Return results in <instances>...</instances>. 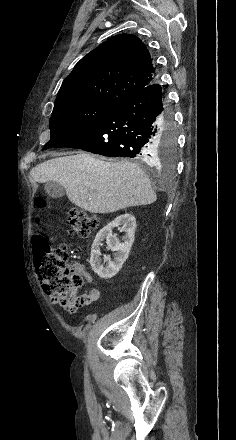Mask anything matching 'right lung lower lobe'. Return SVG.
Instances as JSON below:
<instances>
[{"label":"right lung lower lobe","instance_id":"right-lung-lower-lobe-1","mask_svg":"<svg viewBox=\"0 0 236 440\" xmlns=\"http://www.w3.org/2000/svg\"><path fill=\"white\" fill-rule=\"evenodd\" d=\"M166 130H173V118L166 105L164 86L155 82L57 147L149 161L160 134Z\"/></svg>","mask_w":236,"mask_h":440}]
</instances>
